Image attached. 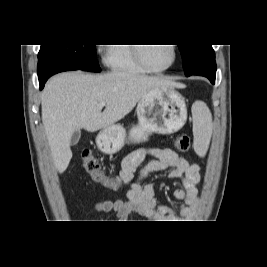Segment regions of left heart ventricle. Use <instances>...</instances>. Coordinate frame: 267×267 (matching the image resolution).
Wrapping results in <instances>:
<instances>
[{
	"mask_svg": "<svg viewBox=\"0 0 267 267\" xmlns=\"http://www.w3.org/2000/svg\"><path fill=\"white\" fill-rule=\"evenodd\" d=\"M143 54L146 61L154 68L167 66L173 58L172 48L169 44L145 46Z\"/></svg>",
	"mask_w": 267,
	"mask_h": 267,
	"instance_id": "b2bd125f",
	"label": "left heart ventricle"
}]
</instances>
